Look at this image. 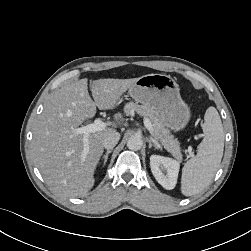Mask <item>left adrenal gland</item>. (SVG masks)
Instances as JSON below:
<instances>
[{
  "label": "left adrenal gland",
  "instance_id": "1",
  "mask_svg": "<svg viewBox=\"0 0 251 251\" xmlns=\"http://www.w3.org/2000/svg\"><path fill=\"white\" fill-rule=\"evenodd\" d=\"M147 141L149 143V148L154 147L155 149H158V147L155 144H153L151 140L148 139Z\"/></svg>",
  "mask_w": 251,
  "mask_h": 251
}]
</instances>
